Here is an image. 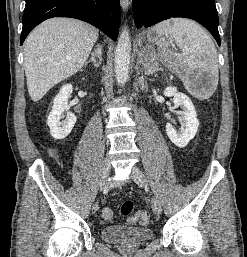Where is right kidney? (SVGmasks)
<instances>
[{"label": "right kidney", "mask_w": 247, "mask_h": 257, "mask_svg": "<svg viewBox=\"0 0 247 257\" xmlns=\"http://www.w3.org/2000/svg\"><path fill=\"white\" fill-rule=\"evenodd\" d=\"M72 91L71 84L64 85L53 100V107L47 118V124L50 128V134L54 139L62 140L67 137L76 123V116L68 112V98ZM65 111L67 112L66 119L61 122L60 120L64 117Z\"/></svg>", "instance_id": "1"}]
</instances>
